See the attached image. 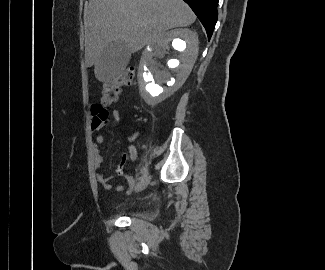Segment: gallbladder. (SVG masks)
I'll return each instance as SVG.
<instances>
[{
    "instance_id": "obj_1",
    "label": "gallbladder",
    "mask_w": 325,
    "mask_h": 270,
    "mask_svg": "<svg viewBox=\"0 0 325 270\" xmlns=\"http://www.w3.org/2000/svg\"><path fill=\"white\" fill-rule=\"evenodd\" d=\"M130 57L131 52L125 42L113 41L104 49L96 71L101 77L112 79L126 68Z\"/></svg>"
}]
</instances>
